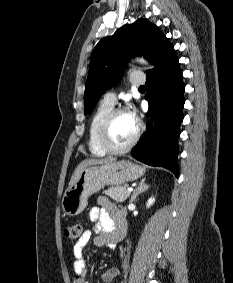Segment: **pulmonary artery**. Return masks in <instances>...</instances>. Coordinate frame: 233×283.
<instances>
[{
	"label": "pulmonary artery",
	"instance_id": "pulmonary-artery-1",
	"mask_svg": "<svg viewBox=\"0 0 233 283\" xmlns=\"http://www.w3.org/2000/svg\"><path fill=\"white\" fill-rule=\"evenodd\" d=\"M130 81L133 86H141L145 83V77L140 73H135L131 76ZM103 101L114 105L116 103V94L114 92L106 93L103 97Z\"/></svg>",
	"mask_w": 233,
	"mask_h": 283
}]
</instances>
